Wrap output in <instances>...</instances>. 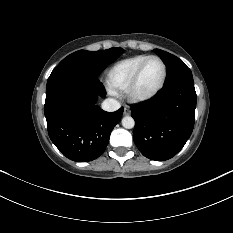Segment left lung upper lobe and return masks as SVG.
<instances>
[{
    "label": "left lung upper lobe",
    "mask_w": 233,
    "mask_h": 233,
    "mask_svg": "<svg viewBox=\"0 0 233 233\" xmlns=\"http://www.w3.org/2000/svg\"><path fill=\"white\" fill-rule=\"evenodd\" d=\"M154 51L167 66L168 77L165 86L182 81L193 82L192 73L182 60L160 49H154Z\"/></svg>",
    "instance_id": "1"
}]
</instances>
